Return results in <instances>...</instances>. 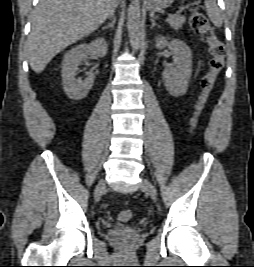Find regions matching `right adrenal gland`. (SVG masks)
I'll list each match as a JSON object with an SVG mask.
<instances>
[{"label": "right adrenal gland", "mask_w": 254, "mask_h": 267, "mask_svg": "<svg viewBox=\"0 0 254 267\" xmlns=\"http://www.w3.org/2000/svg\"><path fill=\"white\" fill-rule=\"evenodd\" d=\"M115 21H116L115 17H112L111 22L108 25L104 26L102 29L105 30L108 28H114Z\"/></svg>", "instance_id": "2a0ac1e0"}]
</instances>
